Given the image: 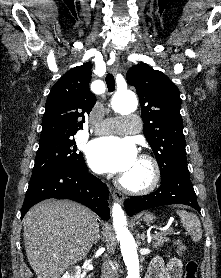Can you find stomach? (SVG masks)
Listing matches in <instances>:
<instances>
[{"mask_svg":"<svg viewBox=\"0 0 221 278\" xmlns=\"http://www.w3.org/2000/svg\"><path fill=\"white\" fill-rule=\"evenodd\" d=\"M143 220L147 223V224H150V223H153L154 220H155V216L151 213H146L144 216H143Z\"/></svg>","mask_w":221,"mask_h":278,"instance_id":"0dacf381","label":"stomach"}]
</instances>
